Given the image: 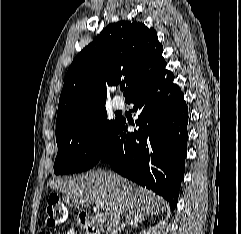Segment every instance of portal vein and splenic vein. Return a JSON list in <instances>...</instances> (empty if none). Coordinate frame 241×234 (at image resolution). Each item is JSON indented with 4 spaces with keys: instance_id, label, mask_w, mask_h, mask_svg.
I'll return each instance as SVG.
<instances>
[{
    "instance_id": "portal-vein-and-splenic-vein-1",
    "label": "portal vein and splenic vein",
    "mask_w": 241,
    "mask_h": 234,
    "mask_svg": "<svg viewBox=\"0 0 241 234\" xmlns=\"http://www.w3.org/2000/svg\"><path fill=\"white\" fill-rule=\"evenodd\" d=\"M94 209L99 211L100 205L95 204V208H94ZM95 221H96L97 223H102V222H103L102 215H101L99 212L96 213V215H95Z\"/></svg>"
}]
</instances>
